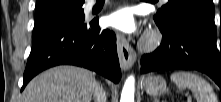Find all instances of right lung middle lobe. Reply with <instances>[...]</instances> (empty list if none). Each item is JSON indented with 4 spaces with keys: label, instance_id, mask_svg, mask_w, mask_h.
<instances>
[{
    "label": "right lung middle lobe",
    "instance_id": "right-lung-middle-lobe-1",
    "mask_svg": "<svg viewBox=\"0 0 221 102\" xmlns=\"http://www.w3.org/2000/svg\"><path fill=\"white\" fill-rule=\"evenodd\" d=\"M83 0H48L35 10L32 39L66 22L84 19Z\"/></svg>",
    "mask_w": 221,
    "mask_h": 102
}]
</instances>
